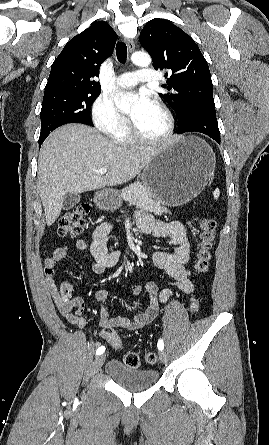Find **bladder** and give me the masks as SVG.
I'll return each instance as SVG.
<instances>
[{
  "label": "bladder",
  "instance_id": "31cf9c89",
  "mask_svg": "<svg viewBox=\"0 0 269 445\" xmlns=\"http://www.w3.org/2000/svg\"><path fill=\"white\" fill-rule=\"evenodd\" d=\"M106 373L119 386L140 391L154 386L159 378L155 369H136L122 364L118 360H111L106 365Z\"/></svg>",
  "mask_w": 269,
  "mask_h": 445
}]
</instances>
